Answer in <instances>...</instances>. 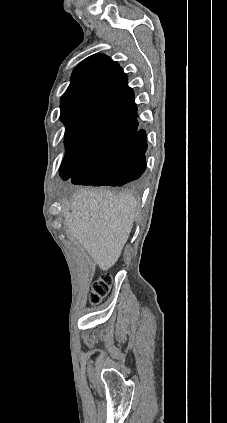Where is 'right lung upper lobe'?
<instances>
[{"instance_id": "cb5924a9", "label": "right lung upper lobe", "mask_w": 227, "mask_h": 423, "mask_svg": "<svg viewBox=\"0 0 227 423\" xmlns=\"http://www.w3.org/2000/svg\"><path fill=\"white\" fill-rule=\"evenodd\" d=\"M134 98L122 68L109 57L95 54L82 61L61 98V120L66 125V149L92 155L137 131L124 121H110L103 113Z\"/></svg>"}]
</instances>
